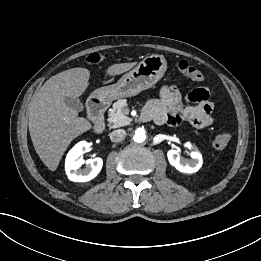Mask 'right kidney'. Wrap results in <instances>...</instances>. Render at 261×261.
I'll return each instance as SVG.
<instances>
[{
    "instance_id": "obj_1",
    "label": "right kidney",
    "mask_w": 261,
    "mask_h": 261,
    "mask_svg": "<svg viewBox=\"0 0 261 261\" xmlns=\"http://www.w3.org/2000/svg\"><path fill=\"white\" fill-rule=\"evenodd\" d=\"M90 144L80 141L67 154L65 160V171L68 179L73 182H87L95 178L102 169L103 160L100 157L85 161L81 155L87 151ZM86 163V168L80 167Z\"/></svg>"
}]
</instances>
